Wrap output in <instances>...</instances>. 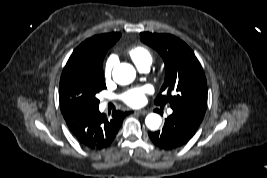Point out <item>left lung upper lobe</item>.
Instances as JSON below:
<instances>
[{
    "mask_svg": "<svg viewBox=\"0 0 267 178\" xmlns=\"http://www.w3.org/2000/svg\"><path fill=\"white\" fill-rule=\"evenodd\" d=\"M141 41L162 56L165 82L155 103L181 109L202 121L207 109V81L202 66L189 46L170 34L140 33Z\"/></svg>",
    "mask_w": 267,
    "mask_h": 178,
    "instance_id": "5c2ea615",
    "label": "left lung upper lobe"
}]
</instances>
